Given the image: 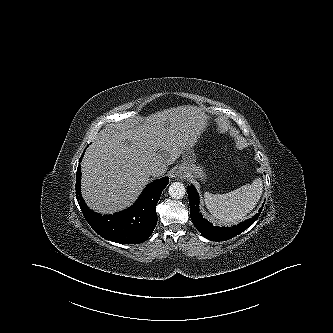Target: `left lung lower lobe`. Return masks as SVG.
<instances>
[{
	"label": "left lung lower lobe",
	"mask_w": 333,
	"mask_h": 333,
	"mask_svg": "<svg viewBox=\"0 0 333 333\" xmlns=\"http://www.w3.org/2000/svg\"><path fill=\"white\" fill-rule=\"evenodd\" d=\"M187 193L189 197L190 215L192 222L198 231L209 240L225 241L231 239L249 228L259 217V214H256L252 218L245 220L239 225L233 227L213 226L199 213V196L196 192V189L193 186H188ZM262 208L263 206L259 209V213H261Z\"/></svg>",
	"instance_id": "obj_1"
}]
</instances>
